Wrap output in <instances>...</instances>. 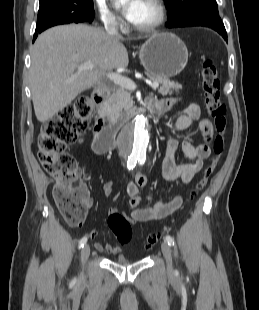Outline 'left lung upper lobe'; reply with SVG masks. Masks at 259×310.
Wrapping results in <instances>:
<instances>
[{
    "instance_id": "left-lung-upper-lobe-1",
    "label": "left lung upper lobe",
    "mask_w": 259,
    "mask_h": 310,
    "mask_svg": "<svg viewBox=\"0 0 259 310\" xmlns=\"http://www.w3.org/2000/svg\"><path fill=\"white\" fill-rule=\"evenodd\" d=\"M168 7L169 22L174 26L186 21L203 20L222 23L216 0H164Z\"/></svg>"
}]
</instances>
